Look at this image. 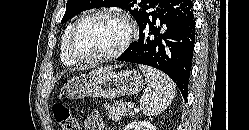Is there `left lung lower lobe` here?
Listing matches in <instances>:
<instances>
[{
  "instance_id": "obj_1",
  "label": "left lung lower lobe",
  "mask_w": 249,
  "mask_h": 130,
  "mask_svg": "<svg viewBox=\"0 0 249 130\" xmlns=\"http://www.w3.org/2000/svg\"><path fill=\"white\" fill-rule=\"evenodd\" d=\"M139 26V40L131 44L118 61L157 68L177 84L188 97V81L195 43V20L191 0H161Z\"/></svg>"
}]
</instances>
